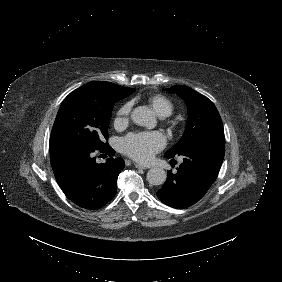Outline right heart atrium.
<instances>
[{
  "instance_id": "right-heart-atrium-1",
  "label": "right heart atrium",
  "mask_w": 282,
  "mask_h": 282,
  "mask_svg": "<svg viewBox=\"0 0 282 282\" xmlns=\"http://www.w3.org/2000/svg\"><path fill=\"white\" fill-rule=\"evenodd\" d=\"M129 112H130L129 105L123 106L118 112V116L116 118V123L121 124L122 122H125Z\"/></svg>"
}]
</instances>
